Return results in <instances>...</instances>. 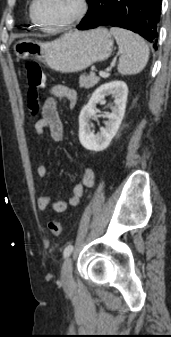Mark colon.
<instances>
[{
	"mask_svg": "<svg viewBox=\"0 0 171 337\" xmlns=\"http://www.w3.org/2000/svg\"><path fill=\"white\" fill-rule=\"evenodd\" d=\"M25 68L29 88V107L33 112H37L39 108L38 93L45 87L46 77L41 65L35 60L26 62ZM48 229L53 236H59L62 232V225L59 220L51 219Z\"/></svg>",
	"mask_w": 171,
	"mask_h": 337,
	"instance_id": "obj_1",
	"label": "colon"
}]
</instances>
